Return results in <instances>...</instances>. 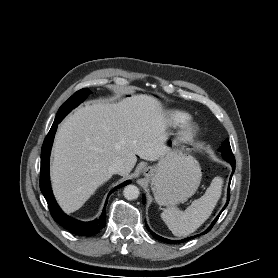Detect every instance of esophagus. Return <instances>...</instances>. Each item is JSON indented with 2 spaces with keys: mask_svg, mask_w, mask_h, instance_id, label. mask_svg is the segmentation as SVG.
Listing matches in <instances>:
<instances>
[{
  "mask_svg": "<svg viewBox=\"0 0 278 278\" xmlns=\"http://www.w3.org/2000/svg\"><path fill=\"white\" fill-rule=\"evenodd\" d=\"M143 173H144V175H149V173H150V170H149V168H145L144 170H143Z\"/></svg>",
  "mask_w": 278,
  "mask_h": 278,
  "instance_id": "esophagus-1",
  "label": "esophagus"
}]
</instances>
